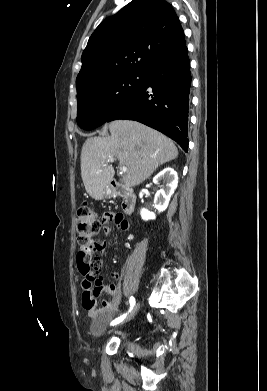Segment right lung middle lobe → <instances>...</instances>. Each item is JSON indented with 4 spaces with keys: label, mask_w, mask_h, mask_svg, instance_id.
Returning <instances> with one entry per match:
<instances>
[{
    "label": "right lung middle lobe",
    "mask_w": 267,
    "mask_h": 391,
    "mask_svg": "<svg viewBox=\"0 0 267 391\" xmlns=\"http://www.w3.org/2000/svg\"><path fill=\"white\" fill-rule=\"evenodd\" d=\"M144 73L125 71L92 80L77 93V123L92 130L105 123L110 115L143 85Z\"/></svg>",
    "instance_id": "dd1d6c3e"
}]
</instances>
